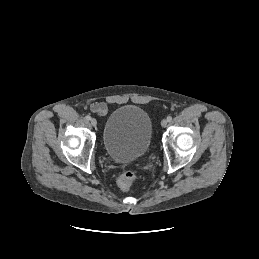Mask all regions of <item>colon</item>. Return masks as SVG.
<instances>
[{
    "instance_id": "colon-1",
    "label": "colon",
    "mask_w": 259,
    "mask_h": 259,
    "mask_svg": "<svg viewBox=\"0 0 259 259\" xmlns=\"http://www.w3.org/2000/svg\"><path fill=\"white\" fill-rule=\"evenodd\" d=\"M136 180V175L131 171L123 172L117 180V185L121 191L127 192L130 190L132 183Z\"/></svg>"
}]
</instances>
